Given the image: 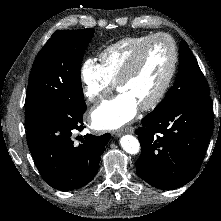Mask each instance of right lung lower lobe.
Listing matches in <instances>:
<instances>
[{
	"mask_svg": "<svg viewBox=\"0 0 221 221\" xmlns=\"http://www.w3.org/2000/svg\"><path fill=\"white\" fill-rule=\"evenodd\" d=\"M85 106L64 104L44 113L27 129V143L44 181L70 191L88 184L95 176L110 134H87L77 145L73 132L81 131Z\"/></svg>",
	"mask_w": 221,
	"mask_h": 221,
	"instance_id": "98d812e1",
	"label": "right lung lower lobe"
}]
</instances>
